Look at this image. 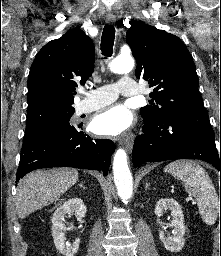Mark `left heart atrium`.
Returning a JSON list of instances; mask_svg holds the SVG:
<instances>
[{
	"label": "left heart atrium",
	"mask_w": 221,
	"mask_h": 256,
	"mask_svg": "<svg viewBox=\"0 0 221 256\" xmlns=\"http://www.w3.org/2000/svg\"><path fill=\"white\" fill-rule=\"evenodd\" d=\"M131 124V113L122 105H113L93 118L92 129L97 134L118 135L126 131Z\"/></svg>",
	"instance_id": "obj_1"
}]
</instances>
